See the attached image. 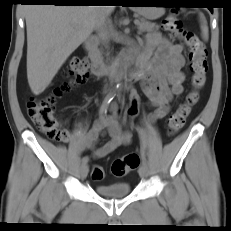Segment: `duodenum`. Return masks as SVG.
<instances>
[{"instance_id": "410a0bca", "label": "duodenum", "mask_w": 231, "mask_h": 231, "mask_svg": "<svg viewBox=\"0 0 231 231\" xmlns=\"http://www.w3.org/2000/svg\"><path fill=\"white\" fill-rule=\"evenodd\" d=\"M85 49L88 53L91 62L92 73L96 76L110 74L115 79H121L124 75L134 72L133 64L138 61L139 55L136 53L130 54L128 58L120 61L117 64L106 66L97 50V42L94 38L86 41Z\"/></svg>"}]
</instances>
